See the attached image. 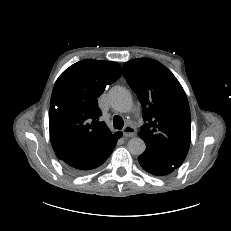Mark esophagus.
<instances>
[{
	"instance_id": "1",
	"label": "esophagus",
	"mask_w": 231,
	"mask_h": 231,
	"mask_svg": "<svg viewBox=\"0 0 231 231\" xmlns=\"http://www.w3.org/2000/svg\"><path fill=\"white\" fill-rule=\"evenodd\" d=\"M136 133V129L132 126H125V128L123 129V135L125 137H133Z\"/></svg>"
}]
</instances>
